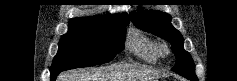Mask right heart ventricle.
Masks as SVG:
<instances>
[{
    "instance_id": "right-heart-ventricle-1",
    "label": "right heart ventricle",
    "mask_w": 237,
    "mask_h": 81,
    "mask_svg": "<svg viewBox=\"0 0 237 81\" xmlns=\"http://www.w3.org/2000/svg\"><path fill=\"white\" fill-rule=\"evenodd\" d=\"M126 47L145 63L156 64L159 61L160 55L157 43L136 30H131Z\"/></svg>"
}]
</instances>
